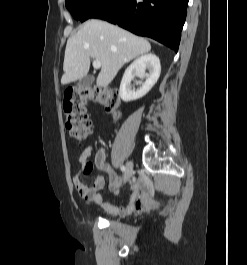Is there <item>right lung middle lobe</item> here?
<instances>
[{
	"label": "right lung middle lobe",
	"instance_id": "right-lung-middle-lobe-1",
	"mask_svg": "<svg viewBox=\"0 0 247 265\" xmlns=\"http://www.w3.org/2000/svg\"><path fill=\"white\" fill-rule=\"evenodd\" d=\"M100 0H66V7L76 20H80L84 14Z\"/></svg>",
	"mask_w": 247,
	"mask_h": 265
}]
</instances>
